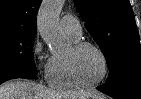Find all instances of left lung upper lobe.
Masks as SVG:
<instances>
[{
    "instance_id": "5c2ea615",
    "label": "left lung upper lobe",
    "mask_w": 141,
    "mask_h": 99,
    "mask_svg": "<svg viewBox=\"0 0 141 99\" xmlns=\"http://www.w3.org/2000/svg\"><path fill=\"white\" fill-rule=\"evenodd\" d=\"M109 67L106 84L141 77L139 33L129 0H74Z\"/></svg>"
}]
</instances>
